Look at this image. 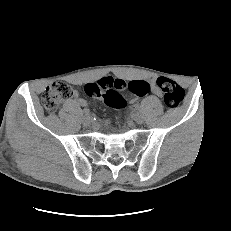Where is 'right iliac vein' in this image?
I'll return each mask as SVG.
<instances>
[{"label": "right iliac vein", "instance_id": "right-iliac-vein-1", "mask_svg": "<svg viewBox=\"0 0 231 231\" xmlns=\"http://www.w3.org/2000/svg\"><path fill=\"white\" fill-rule=\"evenodd\" d=\"M83 122L85 125H89L92 123V117L90 115H85Z\"/></svg>", "mask_w": 231, "mask_h": 231}]
</instances>
